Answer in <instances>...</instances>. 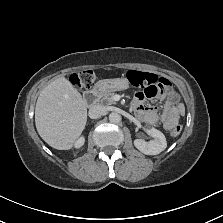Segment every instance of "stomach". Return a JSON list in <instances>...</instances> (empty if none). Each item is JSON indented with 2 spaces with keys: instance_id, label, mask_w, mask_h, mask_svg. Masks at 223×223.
<instances>
[{
  "instance_id": "obj_1",
  "label": "stomach",
  "mask_w": 223,
  "mask_h": 223,
  "mask_svg": "<svg viewBox=\"0 0 223 223\" xmlns=\"http://www.w3.org/2000/svg\"><path fill=\"white\" fill-rule=\"evenodd\" d=\"M130 83H132V81L127 76H125V78H122V79L120 78L106 79V80L98 81L95 84L94 89L97 90L99 93L105 90L118 91V90L127 89Z\"/></svg>"
}]
</instances>
